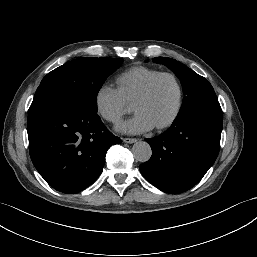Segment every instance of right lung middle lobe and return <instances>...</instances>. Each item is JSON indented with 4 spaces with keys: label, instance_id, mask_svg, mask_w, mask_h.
I'll list each match as a JSON object with an SVG mask.
<instances>
[{
    "label": "right lung middle lobe",
    "instance_id": "obj_1",
    "mask_svg": "<svg viewBox=\"0 0 257 257\" xmlns=\"http://www.w3.org/2000/svg\"><path fill=\"white\" fill-rule=\"evenodd\" d=\"M122 62L107 57L72 60L43 78L30 108L67 105L96 113L99 89Z\"/></svg>",
    "mask_w": 257,
    "mask_h": 257
}]
</instances>
